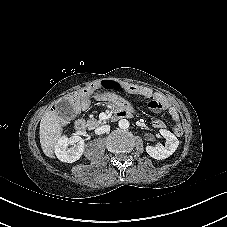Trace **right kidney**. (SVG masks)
<instances>
[{"label":"right kidney","mask_w":227,"mask_h":227,"mask_svg":"<svg viewBox=\"0 0 227 227\" xmlns=\"http://www.w3.org/2000/svg\"><path fill=\"white\" fill-rule=\"evenodd\" d=\"M84 147V140L75 134L60 140L56 145L55 153L62 162L73 163L83 155Z\"/></svg>","instance_id":"obj_1"}]
</instances>
